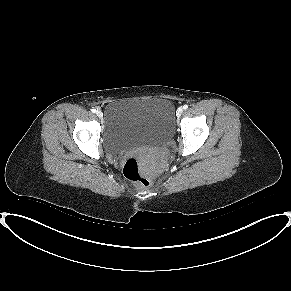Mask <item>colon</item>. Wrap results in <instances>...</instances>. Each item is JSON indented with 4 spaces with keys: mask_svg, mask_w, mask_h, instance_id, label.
<instances>
[{
    "mask_svg": "<svg viewBox=\"0 0 291 291\" xmlns=\"http://www.w3.org/2000/svg\"><path fill=\"white\" fill-rule=\"evenodd\" d=\"M124 174L140 188L147 189L152 185V178L141 169L140 158L137 155L127 158L124 164Z\"/></svg>",
    "mask_w": 291,
    "mask_h": 291,
    "instance_id": "colon-1",
    "label": "colon"
}]
</instances>
